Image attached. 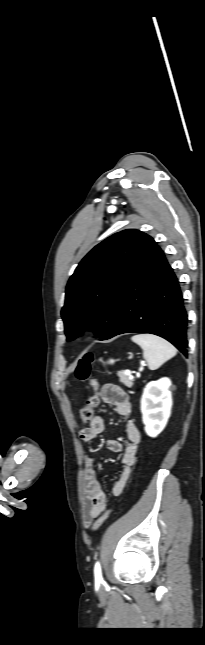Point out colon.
Returning a JSON list of instances; mask_svg holds the SVG:
<instances>
[{
    "mask_svg": "<svg viewBox=\"0 0 205 645\" xmlns=\"http://www.w3.org/2000/svg\"><path fill=\"white\" fill-rule=\"evenodd\" d=\"M94 362V355L92 353L85 354L77 363L75 368V376L78 380L88 382L94 391L98 389L97 381L92 377V364ZM98 405V397L96 394L91 396L84 407L79 411L80 419L83 423H88L94 416V408ZM111 510L102 513L93 524V531L96 532L108 519Z\"/></svg>",
    "mask_w": 205,
    "mask_h": 645,
    "instance_id": "1",
    "label": "colon"
}]
</instances>
